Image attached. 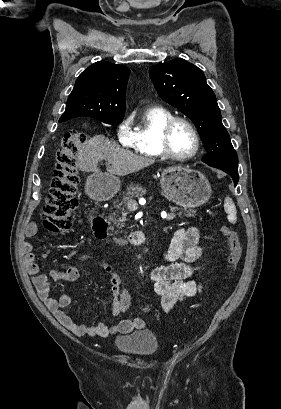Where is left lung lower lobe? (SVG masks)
Segmentation results:
<instances>
[{"mask_svg":"<svg viewBox=\"0 0 281 409\" xmlns=\"http://www.w3.org/2000/svg\"><path fill=\"white\" fill-rule=\"evenodd\" d=\"M210 166L221 169L224 172L228 173L232 177V179L234 181V186H236V184L238 183V180H239L238 165L214 164V165H210Z\"/></svg>","mask_w":281,"mask_h":409,"instance_id":"0a47b994","label":"left lung lower lobe"}]
</instances>
